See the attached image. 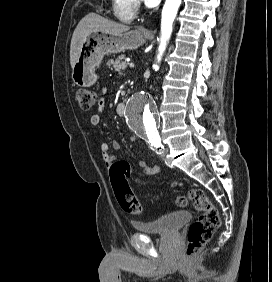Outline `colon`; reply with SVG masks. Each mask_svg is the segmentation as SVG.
Returning a JSON list of instances; mask_svg holds the SVG:
<instances>
[{
  "instance_id": "colon-1",
  "label": "colon",
  "mask_w": 272,
  "mask_h": 282,
  "mask_svg": "<svg viewBox=\"0 0 272 282\" xmlns=\"http://www.w3.org/2000/svg\"><path fill=\"white\" fill-rule=\"evenodd\" d=\"M75 101L79 107L88 111L97 103L96 94L88 89H79L75 92ZM128 168L123 162L115 163L111 168L113 186L116 199L120 207L132 214H142L143 206L136 199L130 185L127 182ZM188 199L195 209L201 212L187 233L186 260H192L203 246L210 240L213 233L220 226V218L217 207L211 202L206 192L200 188H192L188 194H180L175 202L178 207H185Z\"/></svg>"
}]
</instances>
